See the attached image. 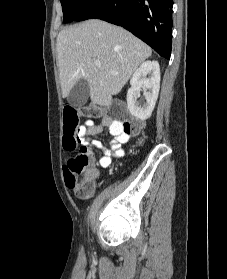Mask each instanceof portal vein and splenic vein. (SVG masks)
Returning a JSON list of instances; mask_svg holds the SVG:
<instances>
[{"instance_id": "portal-vein-and-splenic-vein-1", "label": "portal vein and splenic vein", "mask_w": 227, "mask_h": 279, "mask_svg": "<svg viewBox=\"0 0 227 279\" xmlns=\"http://www.w3.org/2000/svg\"><path fill=\"white\" fill-rule=\"evenodd\" d=\"M95 66H101V63L99 61H94ZM112 74H116L115 72H111Z\"/></svg>"}]
</instances>
